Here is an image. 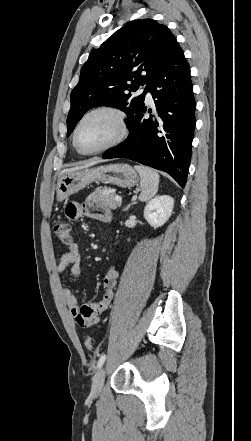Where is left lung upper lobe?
<instances>
[{
    "label": "left lung upper lobe",
    "instance_id": "obj_1",
    "mask_svg": "<svg viewBox=\"0 0 251 441\" xmlns=\"http://www.w3.org/2000/svg\"><path fill=\"white\" fill-rule=\"evenodd\" d=\"M176 38L167 26L152 19L132 21L93 50L71 92L67 136L89 109L108 105L124 111L128 125L144 105L143 94L133 97L139 85H146L169 59ZM131 82V84H128Z\"/></svg>",
    "mask_w": 251,
    "mask_h": 441
}]
</instances>
